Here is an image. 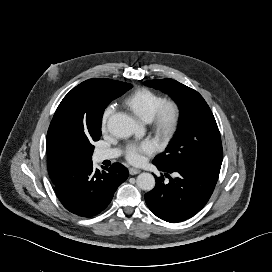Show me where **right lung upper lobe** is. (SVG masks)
I'll use <instances>...</instances> for the list:
<instances>
[{
    "mask_svg": "<svg viewBox=\"0 0 272 272\" xmlns=\"http://www.w3.org/2000/svg\"><path fill=\"white\" fill-rule=\"evenodd\" d=\"M118 82L105 78L86 80L59 104L46 140L48 173L54 185L72 177L89 161L81 142L101 127L108 96Z\"/></svg>",
    "mask_w": 272,
    "mask_h": 272,
    "instance_id": "cb5924a9",
    "label": "right lung upper lobe"
}]
</instances>
